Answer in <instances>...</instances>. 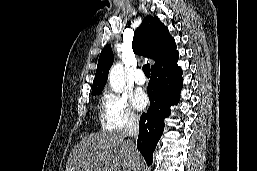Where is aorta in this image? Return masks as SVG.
Segmentation results:
<instances>
[{
	"label": "aorta",
	"instance_id": "1",
	"mask_svg": "<svg viewBox=\"0 0 257 171\" xmlns=\"http://www.w3.org/2000/svg\"><path fill=\"white\" fill-rule=\"evenodd\" d=\"M109 84L114 92L120 93L123 91L125 86V79L122 64L117 63L111 68L109 72Z\"/></svg>",
	"mask_w": 257,
	"mask_h": 171
}]
</instances>
